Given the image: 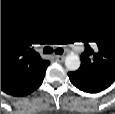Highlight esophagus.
I'll list each match as a JSON object with an SVG mask.
<instances>
[{
	"label": "esophagus",
	"instance_id": "1",
	"mask_svg": "<svg viewBox=\"0 0 115 114\" xmlns=\"http://www.w3.org/2000/svg\"><path fill=\"white\" fill-rule=\"evenodd\" d=\"M64 59H65V57L63 55H57V56H55V60L57 62H63Z\"/></svg>",
	"mask_w": 115,
	"mask_h": 114
}]
</instances>
